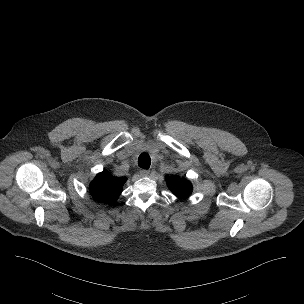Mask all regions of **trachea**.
I'll return each instance as SVG.
<instances>
[{
  "label": "trachea",
  "instance_id": "trachea-1",
  "mask_svg": "<svg viewBox=\"0 0 304 304\" xmlns=\"http://www.w3.org/2000/svg\"><path fill=\"white\" fill-rule=\"evenodd\" d=\"M138 165L141 168L149 169L151 165V158L148 153H142L138 158Z\"/></svg>",
  "mask_w": 304,
  "mask_h": 304
}]
</instances>
